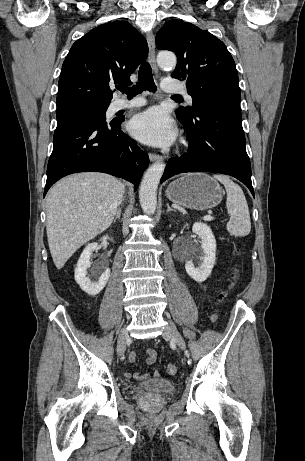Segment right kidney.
Returning a JSON list of instances; mask_svg holds the SVG:
<instances>
[{"mask_svg":"<svg viewBox=\"0 0 305 461\" xmlns=\"http://www.w3.org/2000/svg\"><path fill=\"white\" fill-rule=\"evenodd\" d=\"M102 239L104 240L110 238L108 236H105ZM97 249V243L88 244L83 250L82 254L80 255V258L77 262V266L75 268V281L80 286V288L90 296H95L99 294L102 291V289L106 286L110 277L109 268H102L98 270V279L96 281H92L87 276V269L91 266L90 257L93 251Z\"/></svg>","mask_w":305,"mask_h":461,"instance_id":"1","label":"right kidney"}]
</instances>
